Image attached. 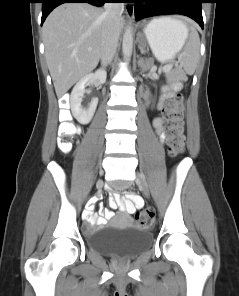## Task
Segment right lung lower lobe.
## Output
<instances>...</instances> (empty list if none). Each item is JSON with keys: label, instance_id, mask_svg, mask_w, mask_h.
Listing matches in <instances>:
<instances>
[{"label": "right lung lower lobe", "instance_id": "98d812e1", "mask_svg": "<svg viewBox=\"0 0 239 296\" xmlns=\"http://www.w3.org/2000/svg\"><path fill=\"white\" fill-rule=\"evenodd\" d=\"M111 0H40L42 3L41 25L45 21L48 14L58 5L62 3H90L95 6H101Z\"/></svg>", "mask_w": 239, "mask_h": 296}]
</instances>
